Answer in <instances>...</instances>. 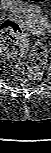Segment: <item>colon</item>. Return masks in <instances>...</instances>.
Instances as JSON below:
<instances>
[{
  "mask_svg": "<svg viewBox=\"0 0 51 153\" xmlns=\"http://www.w3.org/2000/svg\"><path fill=\"white\" fill-rule=\"evenodd\" d=\"M34 3H44L47 0H29ZM29 39L25 30L15 21L7 20L1 24V51L12 60L22 59L28 51ZM30 65L18 62L12 68L14 78L27 83L38 79L46 65L47 51L43 43L36 42L30 53Z\"/></svg>",
  "mask_w": 51,
  "mask_h": 153,
  "instance_id": "colon-1",
  "label": "colon"
}]
</instances>
